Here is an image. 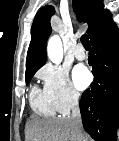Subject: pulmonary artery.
I'll return each instance as SVG.
<instances>
[{"label":"pulmonary artery","instance_id":"obj_1","mask_svg":"<svg viewBox=\"0 0 119 141\" xmlns=\"http://www.w3.org/2000/svg\"><path fill=\"white\" fill-rule=\"evenodd\" d=\"M74 55L76 59L82 61L86 59L87 55L86 52L81 44H78L74 49Z\"/></svg>","mask_w":119,"mask_h":141}]
</instances>
